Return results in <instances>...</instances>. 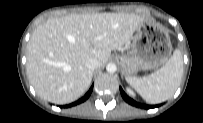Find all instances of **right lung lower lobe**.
<instances>
[{
	"mask_svg": "<svg viewBox=\"0 0 203 123\" xmlns=\"http://www.w3.org/2000/svg\"><path fill=\"white\" fill-rule=\"evenodd\" d=\"M92 89H93V86L89 89V91H88L81 99H79L78 101H76V102H74V103H71V104H69V105H66V107L75 106V105H77V104H80V103L84 102L86 99L89 98V96H90V94H91V92H92Z\"/></svg>",
	"mask_w": 203,
	"mask_h": 123,
	"instance_id": "right-lung-lower-lobe-1",
	"label": "right lung lower lobe"
}]
</instances>
